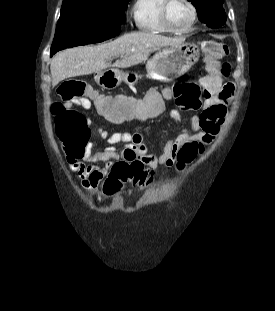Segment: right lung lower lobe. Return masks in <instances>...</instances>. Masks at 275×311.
Masks as SVG:
<instances>
[{
  "label": "right lung lower lobe",
  "mask_w": 275,
  "mask_h": 311,
  "mask_svg": "<svg viewBox=\"0 0 275 311\" xmlns=\"http://www.w3.org/2000/svg\"><path fill=\"white\" fill-rule=\"evenodd\" d=\"M121 24H122V23H121ZM121 24H119V25L117 26V28H116L115 30H113L112 32H109V33L103 35V37L100 39V42H101V41H104V40H107V39H110V38H112V37L118 35V34L120 33Z\"/></svg>",
  "instance_id": "1"
}]
</instances>
